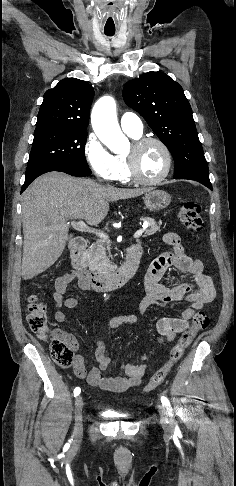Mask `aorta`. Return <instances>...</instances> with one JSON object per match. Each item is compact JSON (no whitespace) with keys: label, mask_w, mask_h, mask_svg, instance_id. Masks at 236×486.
Here are the masks:
<instances>
[{"label":"aorta","mask_w":236,"mask_h":486,"mask_svg":"<svg viewBox=\"0 0 236 486\" xmlns=\"http://www.w3.org/2000/svg\"><path fill=\"white\" fill-rule=\"evenodd\" d=\"M91 122L98 138L112 151L121 152L128 146V140L122 133L116 116V103L110 96L102 97L95 104Z\"/></svg>","instance_id":"aorta-1"}]
</instances>
